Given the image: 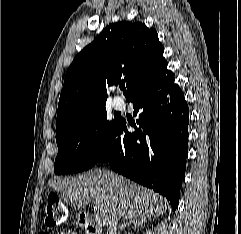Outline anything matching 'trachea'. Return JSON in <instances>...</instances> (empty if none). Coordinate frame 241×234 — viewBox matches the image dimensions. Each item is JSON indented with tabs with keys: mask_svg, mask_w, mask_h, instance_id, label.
Instances as JSON below:
<instances>
[{
	"mask_svg": "<svg viewBox=\"0 0 241 234\" xmlns=\"http://www.w3.org/2000/svg\"><path fill=\"white\" fill-rule=\"evenodd\" d=\"M125 88V85H120V89H124Z\"/></svg>",
	"mask_w": 241,
	"mask_h": 234,
	"instance_id": "1",
	"label": "trachea"
}]
</instances>
